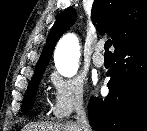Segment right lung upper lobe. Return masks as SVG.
<instances>
[{"label":"right lung upper lobe","instance_id":"cb5924a9","mask_svg":"<svg viewBox=\"0 0 147 131\" xmlns=\"http://www.w3.org/2000/svg\"><path fill=\"white\" fill-rule=\"evenodd\" d=\"M75 10L63 11L52 26L35 73L44 71L59 37L75 21ZM92 21L101 34L107 32L116 49L147 32V0H94Z\"/></svg>","mask_w":147,"mask_h":131}]
</instances>
